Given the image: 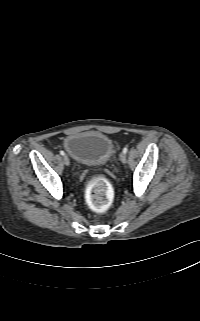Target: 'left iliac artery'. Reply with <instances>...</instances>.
Returning <instances> with one entry per match:
<instances>
[{"instance_id": "44dca946", "label": "left iliac artery", "mask_w": 200, "mask_h": 321, "mask_svg": "<svg viewBox=\"0 0 200 321\" xmlns=\"http://www.w3.org/2000/svg\"><path fill=\"white\" fill-rule=\"evenodd\" d=\"M127 151H128V148H127V147H125V148L123 149V152L126 154V153H127Z\"/></svg>"}]
</instances>
